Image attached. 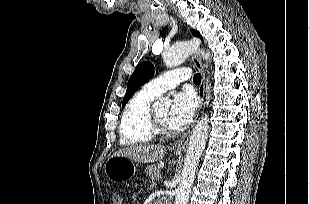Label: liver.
<instances>
[{
    "label": "liver",
    "instance_id": "1",
    "mask_svg": "<svg viewBox=\"0 0 309 204\" xmlns=\"http://www.w3.org/2000/svg\"><path fill=\"white\" fill-rule=\"evenodd\" d=\"M164 145H133L120 149L113 156H124L141 163H154L165 156Z\"/></svg>",
    "mask_w": 309,
    "mask_h": 204
}]
</instances>
